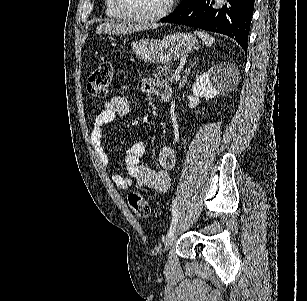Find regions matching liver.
Instances as JSON below:
<instances>
[{
    "mask_svg": "<svg viewBox=\"0 0 307 301\" xmlns=\"http://www.w3.org/2000/svg\"><path fill=\"white\" fill-rule=\"evenodd\" d=\"M160 24H128L122 20H110V22H101L96 28V34H131L138 30H149V28H157Z\"/></svg>",
    "mask_w": 307,
    "mask_h": 301,
    "instance_id": "1",
    "label": "liver"
}]
</instances>
